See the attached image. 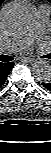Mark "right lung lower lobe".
I'll use <instances>...</instances> for the list:
<instances>
[{
    "label": "right lung lower lobe",
    "mask_w": 51,
    "mask_h": 153,
    "mask_svg": "<svg viewBox=\"0 0 51 153\" xmlns=\"http://www.w3.org/2000/svg\"><path fill=\"white\" fill-rule=\"evenodd\" d=\"M14 63H0V87L4 84L10 70L12 69Z\"/></svg>",
    "instance_id": "1"
}]
</instances>
